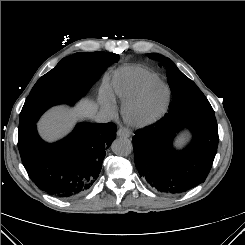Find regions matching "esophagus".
Masks as SVG:
<instances>
[{
    "instance_id": "34e87169",
    "label": "esophagus",
    "mask_w": 245,
    "mask_h": 245,
    "mask_svg": "<svg viewBox=\"0 0 245 245\" xmlns=\"http://www.w3.org/2000/svg\"><path fill=\"white\" fill-rule=\"evenodd\" d=\"M130 134H131L130 131L125 127H120L117 131V136H119V137H125L126 138V137H129Z\"/></svg>"
}]
</instances>
